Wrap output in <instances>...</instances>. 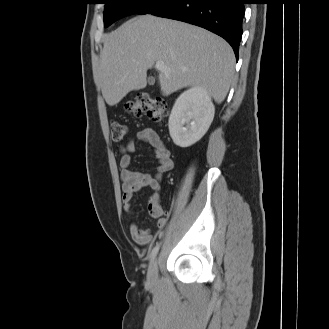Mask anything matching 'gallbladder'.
<instances>
[{
	"label": "gallbladder",
	"instance_id": "1",
	"mask_svg": "<svg viewBox=\"0 0 329 329\" xmlns=\"http://www.w3.org/2000/svg\"><path fill=\"white\" fill-rule=\"evenodd\" d=\"M154 78L153 77H149L148 78V83L150 84V85H153L154 84Z\"/></svg>",
	"mask_w": 329,
	"mask_h": 329
}]
</instances>
